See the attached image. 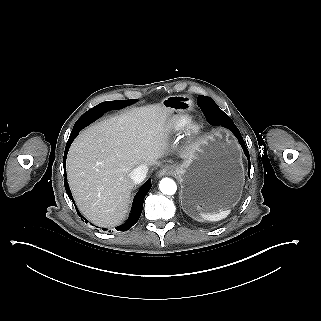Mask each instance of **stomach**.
I'll return each mask as SVG.
<instances>
[{
	"instance_id": "0dacf381",
	"label": "stomach",
	"mask_w": 321,
	"mask_h": 321,
	"mask_svg": "<svg viewBox=\"0 0 321 321\" xmlns=\"http://www.w3.org/2000/svg\"><path fill=\"white\" fill-rule=\"evenodd\" d=\"M163 104L173 111L187 110L192 100L189 96H170ZM175 171L181 185L182 208L193 219H197L201 211L215 213L231 207L241 198L242 155L235 138L225 130L194 145Z\"/></svg>"
}]
</instances>
